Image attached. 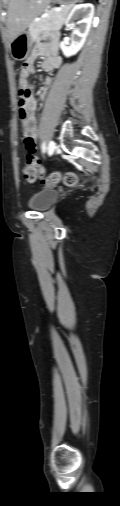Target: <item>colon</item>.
Wrapping results in <instances>:
<instances>
[{
  "label": "colon",
  "mask_w": 120,
  "mask_h": 506,
  "mask_svg": "<svg viewBox=\"0 0 120 506\" xmlns=\"http://www.w3.org/2000/svg\"><path fill=\"white\" fill-rule=\"evenodd\" d=\"M25 66H21V70H24ZM30 95V90L23 86H19L18 89V104H19V114L20 111L25 106L26 99ZM24 143L26 148L33 152L35 150V140L29 136L25 135ZM23 175L25 179L29 182H34L36 180H41V182L45 185H54L62 182L66 186H75L79 183L80 178L77 173L67 172H49L46 173L44 169L40 166L38 159L31 155L28 158L27 163L23 166Z\"/></svg>",
  "instance_id": "1"
}]
</instances>
